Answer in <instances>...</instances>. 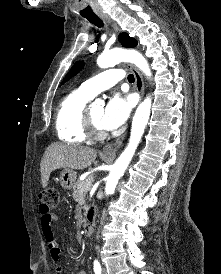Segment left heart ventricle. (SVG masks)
<instances>
[{"label":"left heart ventricle","mask_w":221,"mask_h":274,"mask_svg":"<svg viewBox=\"0 0 221 274\" xmlns=\"http://www.w3.org/2000/svg\"><path fill=\"white\" fill-rule=\"evenodd\" d=\"M103 107L102 106H95L90 109L91 116L94 119V121L102 128L100 124L101 116L103 114Z\"/></svg>","instance_id":"b2bd125f"}]
</instances>
